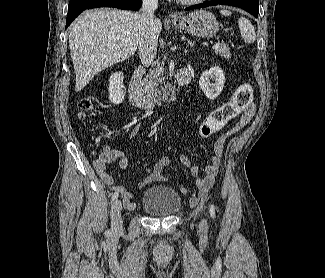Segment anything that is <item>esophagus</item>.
Masks as SVG:
<instances>
[{
    "instance_id": "34e87169",
    "label": "esophagus",
    "mask_w": 325,
    "mask_h": 278,
    "mask_svg": "<svg viewBox=\"0 0 325 278\" xmlns=\"http://www.w3.org/2000/svg\"><path fill=\"white\" fill-rule=\"evenodd\" d=\"M170 19H171L172 21H176V20L179 19V15H178L177 13H171V14H170Z\"/></svg>"
}]
</instances>
